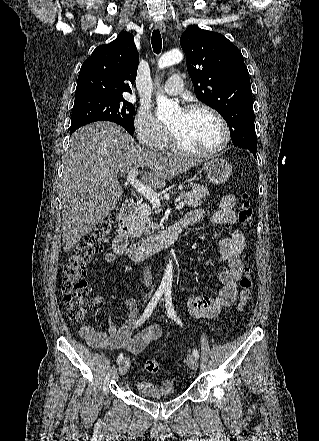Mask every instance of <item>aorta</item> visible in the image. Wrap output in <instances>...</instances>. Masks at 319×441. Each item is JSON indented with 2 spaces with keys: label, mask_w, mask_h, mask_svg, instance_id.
Here are the masks:
<instances>
[{
  "label": "aorta",
  "mask_w": 319,
  "mask_h": 441,
  "mask_svg": "<svg viewBox=\"0 0 319 441\" xmlns=\"http://www.w3.org/2000/svg\"><path fill=\"white\" fill-rule=\"evenodd\" d=\"M183 54L181 51L175 49L163 54L159 61L158 67L159 69H163L169 67L174 64H178L182 61ZM157 112L156 115L160 121H169L173 114L178 110V105L173 100L168 99L164 94H157ZM173 281V265L172 261L169 260V263L166 266L162 281L161 287H171Z\"/></svg>",
  "instance_id": "aorta-1"
}]
</instances>
